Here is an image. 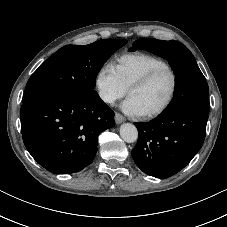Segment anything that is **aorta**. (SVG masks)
Listing matches in <instances>:
<instances>
[{"mask_svg": "<svg viewBox=\"0 0 227 227\" xmlns=\"http://www.w3.org/2000/svg\"><path fill=\"white\" fill-rule=\"evenodd\" d=\"M120 136L127 143H133L138 139V130L131 123H124L120 127Z\"/></svg>", "mask_w": 227, "mask_h": 227, "instance_id": "762f6f07", "label": "aorta"}]
</instances>
